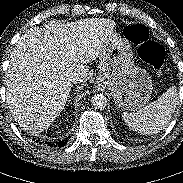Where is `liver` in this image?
<instances>
[{
	"label": "liver",
	"mask_w": 183,
	"mask_h": 183,
	"mask_svg": "<svg viewBox=\"0 0 183 183\" xmlns=\"http://www.w3.org/2000/svg\"><path fill=\"white\" fill-rule=\"evenodd\" d=\"M115 25L107 18L50 21L19 38L5 86L9 109L23 130L40 133L54 122L69 97L68 76L75 72L85 80L89 72L85 64L99 56Z\"/></svg>",
	"instance_id": "1"
}]
</instances>
